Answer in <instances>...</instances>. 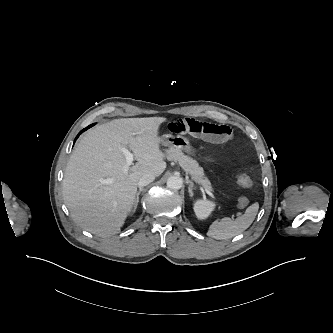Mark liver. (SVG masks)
<instances>
[{"mask_svg":"<svg viewBox=\"0 0 333 333\" xmlns=\"http://www.w3.org/2000/svg\"><path fill=\"white\" fill-rule=\"evenodd\" d=\"M163 117L123 118L89 130L73 150L62 182L63 199L76 224L100 237L120 232L131 211L138 182L166 169L158 136ZM121 147L137 163L125 171ZM112 182L103 184L102 180Z\"/></svg>","mask_w":333,"mask_h":333,"instance_id":"liver-1","label":"liver"}]
</instances>
